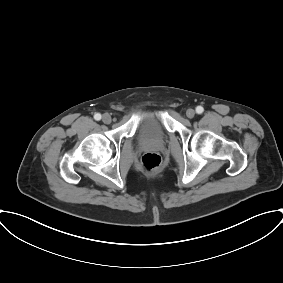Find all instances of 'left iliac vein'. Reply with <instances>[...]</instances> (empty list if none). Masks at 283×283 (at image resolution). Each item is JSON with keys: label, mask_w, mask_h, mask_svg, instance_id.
<instances>
[{"label": "left iliac vein", "mask_w": 283, "mask_h": 283, "mask_svg": "<svg viewBox=\"0 0 283 283\" xmlns=\"http://www.w3.org/2000/svg\"><path fill=\"white\" fill-rule=\"evenodd\" d=\"M186 115L188 118H193L195 116V110L191 108L187 109Z\"/></svg>", "instance_id": "4c4485c4"}]
</instances>
